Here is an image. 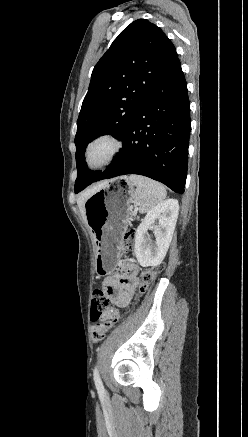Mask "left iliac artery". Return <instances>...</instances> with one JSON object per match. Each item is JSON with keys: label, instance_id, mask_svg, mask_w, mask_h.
<instances>
[{"label": "left iliac artery", "instance_id": "1", "mask_svg": "<svg viewBox=\"0 0 248 437\" xmlns=\"http://www.w3.org/2000/svg\"><path fill=\"white\" fill-rule=\"evenodd\" d=\"M93 376H94V382H95L97 390L98 391H103L104 387H103L101 378L99 376V372H98L97 366H95V368L93 370Z\"/></svg>", "mask_w": 248, "mask_h": 437}]
</instances>
